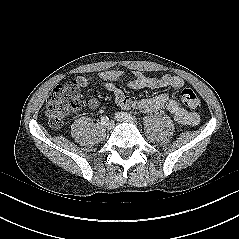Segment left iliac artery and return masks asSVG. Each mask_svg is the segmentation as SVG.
Returning a JSON list of instances; mask_svg holds the SVG:
<instances>
[{"label": "left iliac artery", "instance_id": "left-iliac-artery-1", "mask_svg": "<svg viewBox=\"0 0 239 239\" xmlns=\"http://www.w3.org/2000/svg\"><path fill=\"white\" fill-rule=\"evenodd\" d=\"M126 116H129L130 118L134 119L135 120V117L132 116L131 114H128V113H125Z\"/></svg>", "mask_w": 239, "mask_h": 239}]
</instances>
